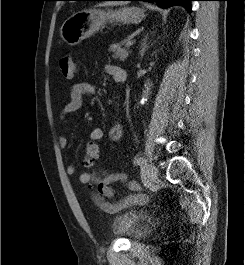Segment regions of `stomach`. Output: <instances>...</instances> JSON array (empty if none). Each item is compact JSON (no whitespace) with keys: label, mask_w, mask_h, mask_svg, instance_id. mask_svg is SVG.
I'll return each mask as SVG.
<instances>
[{"label":"stomach","mask_w":245,"mask_h":265,"mask_svg":"<svg viewBox=\"0 0 245 265\" xmlns=\"http://www.w3.org/2000/svg\"><path fill=\"white\" fill-rule=\"evenodd\" d=\"M145 16V10L139 7H123L106 11L96 8L83 9L63 22L60 35L65 43L75 46L102 29L107 22L138 24Z\"/></svg>","instance_id":"obj_1"}]
</instances>
